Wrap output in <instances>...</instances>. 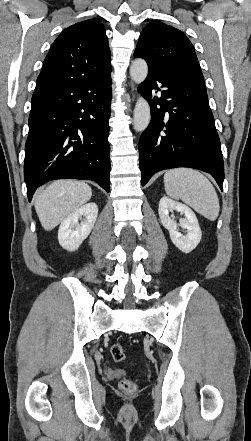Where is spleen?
Returning a JSON list of instances; mask_svg holds the SVG:
<instances>
[{
    "instance_id": "spleen-1",
    "label": "spleen",
    "mask_w": 251,
    "mask_h": 441,
    "mask_svg": "<svg viewBox=\"0 0 251 441\" xmlns=\"http://www.w3.org/2000/svg\"><path fill=\"white\" fill-rule=\"evenodd\" d=\"M166 194L182 200L196 212L215 221L220 206L217 193L211 182L199 171L189 168L171 169L164 174Z\"/></svg>"
}]
</instances>
